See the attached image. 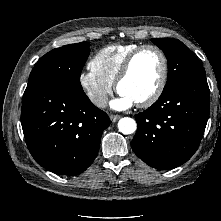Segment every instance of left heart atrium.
<instances>
[{"instance_id": "obj_1", "label": "left heart atrium", "mask_w": 221, "mask_h": 221, "mask_svg": "<svg viewBox=\"0 0 221 221\" xmlns=\"http://www.w3.org/2000/svg\"><path fill=\"white\" fill-rule=\"evenodd\" d=\"M134 104L135 102L131 98L120 93L119 98L112 101L111 106L112 108L116 110H122V109L130 108Z\"/></svg>"}]
</instances>
